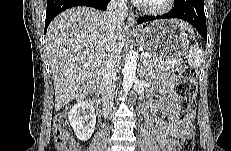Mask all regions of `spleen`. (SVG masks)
Returning a JSON list of instances; mask_svg holds the SVG:
<instances>
[{"label": "spleen", "mask_w": 231, "mask_h": 151, "mask_svg": "<svg viewBox=\"0 0 231 151\" xmlns=\"http://www.w3.org/2000/svg\"><path fill=\"white\" fill-rule=\"evenodd\" d=\"M203 62V51L197 45H188V64L192 68H199Z\"/></svg>", "instance_id": "spleen-1"}]
</instances>
